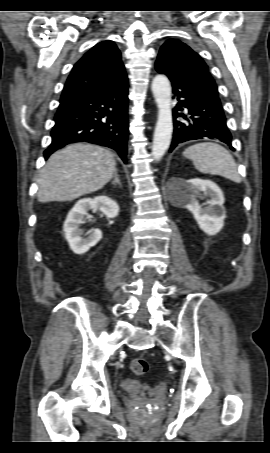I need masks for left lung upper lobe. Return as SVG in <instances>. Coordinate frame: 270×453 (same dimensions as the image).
<instances>
[{"mask_svg":"<svg viewBox=\"0 0 270 453\" xmlns=\"http://www.w3.org/2000/svg\"><path fill=\"white\" fill-rule=\"evenodd\" d=\"M156 63L162 64L184 81L218 95L216 83L203 59L181 41L167 40L160 49Z\"/></svg>","mask_w":270,"mask_h":453,"instance_id":"left-lung-upper-lobe-1","label":"left lung upper lobe"}]
</instances>
